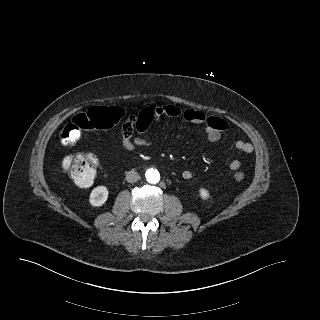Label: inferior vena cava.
Here are the masks:
<instances>
[{
    "label": "inferior vena cava",
    "mask_w": 320,
    "mask_h": 320,
    "mask_svg": "<svg viewBox=\"0 0 320 320\" xmlns=\"http://www.w3.org/2000/svg\"><path fill=\"white\" fill-rule=\"evenodd\" d=\"M139 179H140V176L135 170H130L126 173V180L129 183H135Z\"/></svg>",
    "instance_id": "inferior-vena-cava-1"
}]
</instances>
